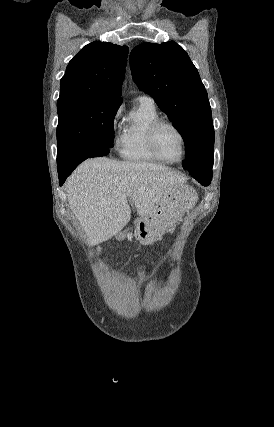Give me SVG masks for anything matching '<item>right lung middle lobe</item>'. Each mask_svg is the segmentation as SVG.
I'll return each instance as SVG.
<instances>
[{
    "label": "right lung middle lobe",
    "instance_id": "obj_1",
    "mask_svg": "<svg viewBox=\"0 0 274 427\" xmlns=\"http://www.w3.org/2000/svg\"><path fill=\"white\" fill-rule=\"evenodd\" d=\"M122 100H84L58 109L57 165L73 164L113 147V121Z\"/></svg>",
    "mask_w": 274,
    "mask_h": 427
}]
</instances>
